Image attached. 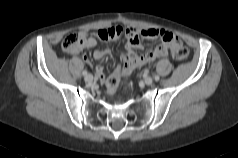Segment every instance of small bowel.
<instances>
[{
    "label": "small bowel",
    "mask_w": 238,
    "mask_h": 158,
    "mask_svg": "<svg viewBox=\"0 0 238 158\" xmlns=\"http://www.w3.org/2000/svg\"><path fill=\"white\" fill-rule=\"evenodd\" d=\"M110 29L114 32L115 36H118L123 32V29L118 27ZM78 34L83 40L82 48L95 47L97 45V38H100L98 34H91L86 31H80ZM124 34L126 37V52L121 56L122 64L117 67L109 77H105L101 65L96 68L97 78L110 92L114 91L111 82L116 81L119 83L123 76L130 74L135 68L150 63L158 58L166 57L168 55L169 45L176 41L175 36L171 32L156 28H145L141 30L127 28L124 30ZM141 37L145 39L159 38L161 42L154 49L148 50L141 55H137L133 51L143 49V45L140 41ZM108 52V47L105 46L100 48L94 52V59L101 61ZM132 57L134 58L133 61H131ZM84 58L86 59V57Z\"/></svg>",
    "instance_id": "small-bowel-1"
}]
</instances>
